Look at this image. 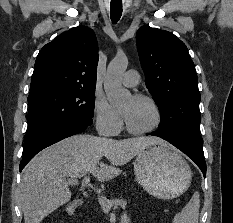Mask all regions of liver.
Masks as SVG:
<instances>
[{
    "label": "liver",
    "mask_w": 233,
    "mask_h": 223,
    "mask_svg": "<svg viewBox=\"0 0 233 223\" xmlns=\"http://www.w3.org/2000/svg\"><path fill=\"white\" fill-rule=\"evenodd\" d=\"M162 141L151 135L127 139L72 135L46 147L21 171L19 197L24 223H41L46 215L70 201L67 177L91 173L98 181H109L122 173L118 165H125L148 145ZM102 157L109 163L101 161Z\"/></svg>",
    "instance_id": "obj_1"
}]
</instances>
